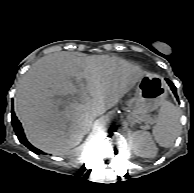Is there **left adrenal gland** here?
I'll use <instances>...</instances> for the list:
<instances>
[{
    "label": "left adrenal gland",
    "mask_w": 194,
    "mask_h": 193,
    "mask_svg": "<svg viewBox=\"0 0 194 193\" xmlns=\"http://www.w3.org/2000/svg\"><path fill=\"white\" fill-rule=\"evenodd\" d=\"M129 122H130V125L133 126V125H134L135 123H137L138 121L135 120V119L130 118ZM138 123H139V122H138Z\"/></svg>",
    "instance_id": "obj_1"
}]
</instances>
